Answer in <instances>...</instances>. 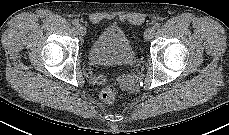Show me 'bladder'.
Masks as SVG:
<instances>
[{"mask_svg":"<svg viewBox=\"0 0 229 135\" xmlns=\"http://www.w3.org/2000/svg\"><path fill=\"white\" fill-rule=\"evenodd\" d=\"M87 57L93 65L115 66L133 64L136 60V52L120 26L108 25L91 43Z\"/></svg>","mask_w":229,"mask_h":135,"instance_id":"bladder-1","label":"bladder"}]
</instances>
